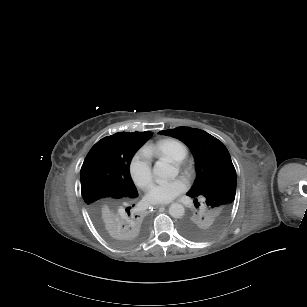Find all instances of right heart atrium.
I'll use <instances>...</instances> for the list:
<instances>
[{"label":"right heart atrium","mask_w":307,"mask_h":307,"mask_svg":"<svg viewBox=\"0 0 307 307\" xmlns=\"http://www.w3.org/2000/svg\"><path fill=\"white\" fill-rule=\"evenodd\" d=\"M129 171L136 184H145L151 178L150 157L143 150H138L130 158Z\"/></svg>","instance_id":"1"}]
</instances>
